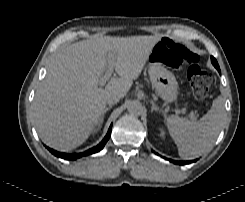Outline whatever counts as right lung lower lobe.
Wrapping results in <instances>:
<instances>
[{"mask_svg":"<svg viewBox=\"0 0 245 202\" xmlns=\"http://www.w3.org/2000/svg\"><path fill=\"white\" fill-rule=\"evenodd\" d=\"M111 128H112V125L110 126L107 135L104 137V139L96 147H93V148H91L88 151H85L83 153L67 154V153L57 152V151L50 149V148H48V149L52 154H54L57 157H60V158L66 159V160H76L80 157H83V156H86L89 154H93V153H96V152L102 150L103 147L105 146L106 142L109 140V138L111 136Z\"/></svg>","mask_w":245,"mask_h":202,"instance_id":"1","label":"right lung lower lobe"}]
</instances>
